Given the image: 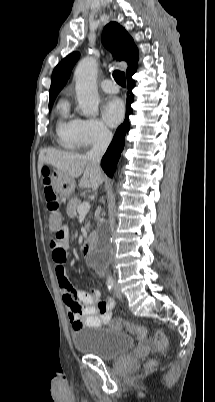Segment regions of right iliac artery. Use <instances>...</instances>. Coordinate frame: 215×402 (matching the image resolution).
<instances>
[{
	"label": "right iliac artery",
	"mask_w": 215,
	"mask_h": 402,
	"mask_svg": "<svg viewBox=\"0 0 215 402\" xmlns=\"http://www.w3.org/2000/svg\"><path fill=\"white\" fill-rule=\"evenodd\" d=\"M106 284H107V287H108L109 291H112L113 288H114V280H113V278L109 277L107 279Z\"/></svg>",
	"instance_id": "82829eb1"
}]
</instances>
